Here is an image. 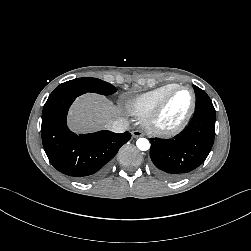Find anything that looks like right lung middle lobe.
Returning a JSON list of instances; mask_svg holds the SVG:
<instances>
[{"label": "right lung middle lobe", "mask_w": 251, "mask_h": 251, "mask_svg": "<svg viewBox=\"0 0 251 251\" xmlns=\"http://www.w3.org/2000/svg\"><path fill=\"white\" fill-rule=\"evenodd\" d=\"M116 91L115 87L96 78H78L74 80L67 81L65 83L60 84L51 95L61 93V92H94L101 95H110Z\"/></svg>", "instance_id": "right-lung-middle-lobe-1"}]
</instances>
